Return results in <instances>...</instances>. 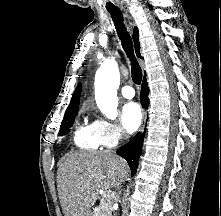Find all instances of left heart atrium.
<instances>
[{
    "label": "left heart atrium",
    "instance_id": "1",
    "mask_svg": "<svg viewBox=\"0 0 221 216\" xmlns=\"http://www.w3.org/2000/svg\"><path fill=\"white\" fill-rule=\"evenodd\" d=\"M142 121V113L139 105L135 102H129L123 106L121 122L128 133L135 132Z\"/></svg>",
    "mask_w": 221,
    "mask_h": 216
}]
</instances>
